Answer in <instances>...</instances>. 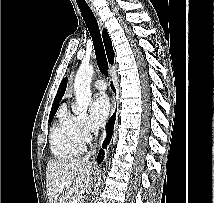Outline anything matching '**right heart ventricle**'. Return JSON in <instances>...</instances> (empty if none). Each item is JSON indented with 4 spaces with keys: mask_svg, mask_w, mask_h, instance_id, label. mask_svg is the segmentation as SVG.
Returning a JSON list of instances; mask_svg holds the SVG:
<instances>
[{
    "mask_svg": "<svg viewBox=\"0 0 214 203\" xmlns=\"http://www.w3.org/2000/svg\"><path fill=\"white\" fill-rule=\"evenodd\" d=\"M51 151L58 159H70L84 150V145L74 136L68 117L61 114L59 121L53 125L50 135Z\"/></svg>",
    "mask_w": 214,
    "mask_h": 203,
    "instance_id": "e07e8e85",
    "label": "right heart ventricle"
}]
</instances>
